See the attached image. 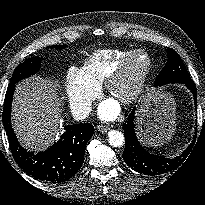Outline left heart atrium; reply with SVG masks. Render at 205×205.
<instances>
[{
  "mask_svg": "<svg viewBox=\"0 0 205 205\" xmlns=\"http://www.w3.org/2000/svg\"><path fill=\"white\" fill-rule=\"evenodd\" d=\"M100 116L105 120H113L118 116L119 107L113 100L104 101L99 110Z\"/></svg>",
  "mask_w": 205,
  "mask_h": 205,
  "instance_id": "obj_1",
  "label": "left heart atrium"
}]
</instances>
